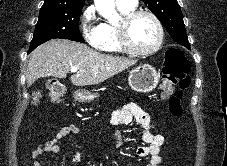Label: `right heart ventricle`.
<instances>
[{
  "label": "right heart ventricle",
  "mask_w": 227,
  "mask_h": 166,
  "mask_svg": "<svg viewBox=\"0 0 227 166\" xmlns=\"http://www.w3.org/2000/svg\"><path fill=\"white\" fill-rule=\"evenodd\" d=\"M117 7L121 15H125L134 10V8H128L119 4H117ZM116 26V24L108 22L102 23L103 40L99 47L101 50L105 52H124L118 42Z\"/></svg>",
  "instance_id": "1"
}]
</instances>
